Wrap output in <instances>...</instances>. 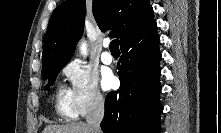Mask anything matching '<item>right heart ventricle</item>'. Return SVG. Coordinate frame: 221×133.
<instances>
[{
    "label": "right heart ventricle",
    "mask_w": 221,
    "mask_h": 133,
    "mask_svg": "<svg viewBox=\"0 0 221 133\" xmlns=\"http://www.w3.org/2000/svg\"><path fill=\"white\" fill-rule=\"evenodd\" d=\"M56 113L65 119H74L77 114L73 107L70 93L67 89L59 87L55 96Z\"/></svg>",
    "instance_id": "e07e8e85"
}]
</instances>
